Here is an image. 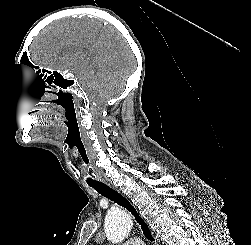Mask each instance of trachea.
I'll return each mask as SVG.
<instances>
[{"label": "trachea", "mask_w": 251, "mask_h": 245, "mask_svg": "<svg viewBox=\"0 0 251 245\" xmlns=\"http://www.w3.org/2000/svg\"><path fill=\"white\" fill-rule=\"evenodd\" d=\"M88 185L92 187L93 189H95L101 195L107 197L111 201L117 203L118 205L126 208L129 212H131V214L135 217V220L137 221V223L141 226V229L145 237L150 241H154V238L151 234V231L148 225L140 217V215L138 214L134 206H132L131 203L125 197H123L116 190L110 188L108 185L102 182L88 183Z\"/></svg>", "instance_id": "1"}]
</instances>
